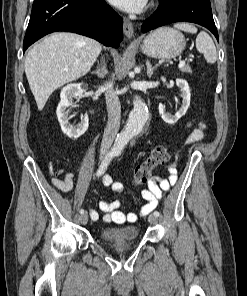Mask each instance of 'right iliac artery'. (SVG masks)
Instances as JSON below:
<instances>
[{
    "instance_id": "1",
    "label": "right iliac artery",
    "mask_w": 247,
    "mask_h": 296,
    "mask_svg": "<svg viewBox=\"0 0 247 296\" xmlns=\"http://www.w3.org/2000/svg\"><path fill=\"white\" fill-rule=\"evenodd\" d=\"M115 155H116V152H114V151H110L109 153H107V155L105 156L104 160L102 161L99 169L97 170L96 175L98 177L105 173L109 163L111 162V160L114 158ZM80 214H84L83 209L80 210Z\"/></svg>"
}]
</instances>
